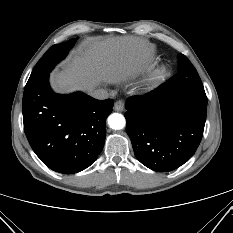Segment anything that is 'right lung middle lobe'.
<instances>
[{
  "label": "right lung middle lobe",
  "instance_id": "dd1d6c3e",
  "mask_svg": "<svg viewBox=\"0 0 233 233\" xmlns=\"http://www.w3.org/2000/svg\"><path fill=\"white\" fill-rule=\"evenodd\" d=\"M75 41L76 39L73 38L65 43L55 44L50 47L34 67L25 87L35 84L42 77L48 75L53 67L67 55Z\"/></svg>",
  "mask_w": 233,
  "mask_h": 233
}]
</instances>
